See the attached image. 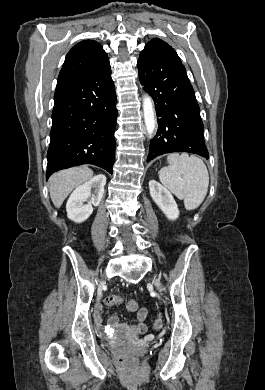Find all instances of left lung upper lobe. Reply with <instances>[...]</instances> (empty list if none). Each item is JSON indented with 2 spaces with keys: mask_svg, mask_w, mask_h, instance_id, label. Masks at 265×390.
<instances>
[{
  "mask_svg": "<svg viewBox=\"0 0 265 390\" xmlns=\"http://www.w3.org/2000/svg\"><path fill=\"white\" fill-rule=\"evenodd\" d=\"M140 54L169 62L181 63L175 50L166 42L157 38L148 42Z\"/></svg>",
  "mask_w": 265,
  "mask_h": 390,
  "instance_id": "1",
  "label": "left lung upper lobe"
}]
</instances>
